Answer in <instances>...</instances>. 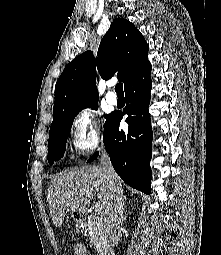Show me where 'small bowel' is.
<instances>
[{
    "mask_svg": "<svg viewBox=\"0 0 221 255\" xmlns=\"http://www.w3.org/2000/svg\"><path fill=\"white\" fill-rule=\"evenodd\" d=\"M75 255H91L87 247L81 243H75L73 246Z\"/></svg>",
    "mask_w": 221,
    "mask_h": 255,
    "instance_id": "obj_1",
    "label": "small bowel"
}]
</instances>
